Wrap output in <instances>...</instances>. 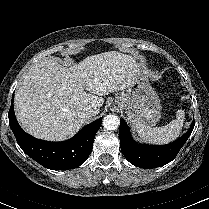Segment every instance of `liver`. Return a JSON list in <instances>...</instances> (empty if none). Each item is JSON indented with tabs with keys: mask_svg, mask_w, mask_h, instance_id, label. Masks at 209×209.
<instances>
[{
	"mask_svg": "<svg viewBox=\"0 0 209 209\" xmlns=\"http://www.w3.org/2000/svg\"><path fill=\"white\" fill-rule=\"evenodd\" d=\"M140 66L132 56L118 51L88 56L69 68L56 57L42 60L18 84L16 118L36 138L66 140L90 119L85 108L92 106L98 114L102 96L127 89Z\"/></svg>",
	"mask_w": 209,
	"mask_h": 209,
	"instance_id": "obj_1",
	"label": "liver"
}]
</instances>
